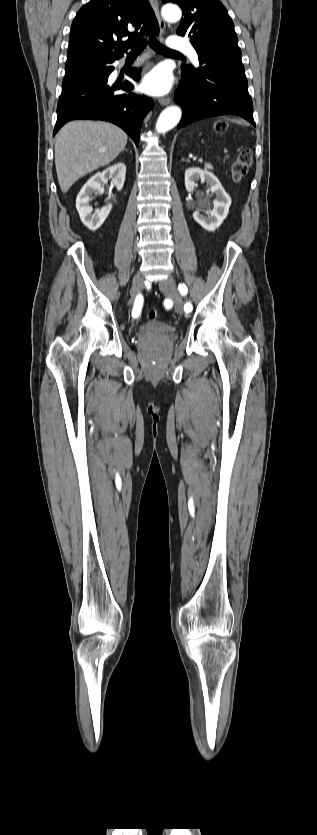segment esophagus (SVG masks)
Listing matches in <instances>:
<instances>
[{"label": "esophagus", "instance_id": "34e87169", "mask_svg": "<svg viewBox=\"0 0 317 835\" xmlns=\"http://www.w3.org/2000/svg\"><path fill=\"white\" fill-rule=\"evenodd\" d=\"M154 11V14L158 20L160 31L163 32L165 30L166 24L160 16L159 12V3L158 0H149ZM159 103L163 106L169 105L171 103V97H163L159 99Z\"/></svg>", "mask_w": 317, "mask_h": 835}]
</instances>
